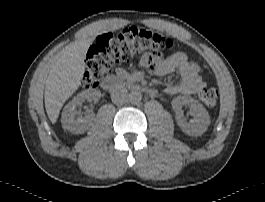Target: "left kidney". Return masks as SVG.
<instances>
[{
	"instance_id": "obj_1",
	"label": "left kidney",
	"mask_w": 265,
	"mask_h": 202,
	"mask_svg": "<svg viewBox=\"0 0 265 202\" xmlns=\"http://www.w3.org/2000/svg\"><path fill=\"white\" fill-rule=\"evenodd\" d=\"M189 106L194 116L193 119L186 121L183 114V106ZM172 108L176 114V121L181 130L189 136H201L210 125L208 111L199 101L188 97L178 96L172 100Z\"/></svg>"
}]
</instances>
